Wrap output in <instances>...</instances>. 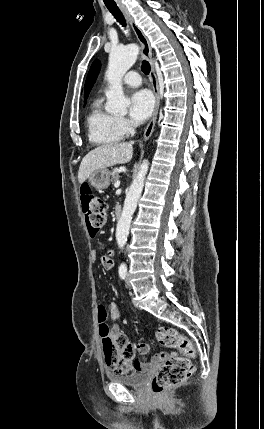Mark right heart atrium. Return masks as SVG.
<instances>
[{"label": "right heart atrium", "instance_id": "right-heart-atrium-1", "mask_svg": "<svg viewBox=\"0 0 264 429\" xmlns=\"http://www.w3.org/2000/svg\"><path fill=\"white\" fill-rule=\"evenodd\" d=\"M119 124L124 133H129L132 129L131 123L125 118H120Z\"/></svg>", "mask_w": 264, "mask_h": 429}]
</instances>
